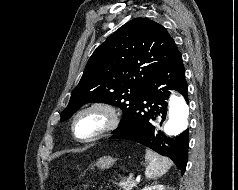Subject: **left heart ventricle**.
Listing matches in <instances>:
<instances>
[{
	"label": "left heart ventricle",
	"mask_w": 238,
	"mask_h": 190,
	"mask_svg": "<svg viewBox=\"0 0 238 190\" xmlns=\"http://www.w3.org/2000/svg\"><path fill=\"white\" fill-rule=\"evenodd\" d=\"M104 124V117L97 112L82 116L77 123V131L82 136L90 135L99 130Z\"/></svg>",
	"instance_id": "obj_1"
}]
</instances>
